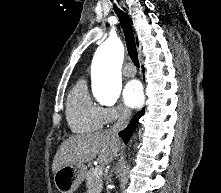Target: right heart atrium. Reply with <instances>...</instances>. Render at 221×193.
Returning a JSON list of instances; mask_svg holds the SVG:
<instances>
[{
    "mask_svg": "<svg viewBox=\"0 0 221 193\" xmlns=\"http://www.w3.org/2000/svg\"><path fill=\"white\" fill-rule=\"evenodd\" d=\"M129 115V110L122 105L104 108V124H112L117 121L125 120L129 117Z\"/></svg>",
    "mask_w": 221,
    "mask_h": 193,
    "instance_id": "right-heart-atrium-1",
    "label": "right heart atrium"
}]
</instances>
